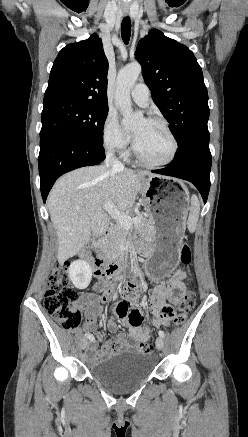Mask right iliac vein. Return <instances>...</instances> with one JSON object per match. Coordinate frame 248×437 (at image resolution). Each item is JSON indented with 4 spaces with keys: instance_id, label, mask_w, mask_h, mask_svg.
<instances>
[{
    "instance_id": "right-iliac-vein-1",
    "label": "right iliac vein",
    "mask_w": 248,
    "mask_h": 437,
    "mask_svg": "<svg viewBox=\"0 0 248 437\" xmlns=\"http://www.w3.org/2000/svg\"><path fill=\"white\" fill-rule=\"evenodd\" d=\"M89 342L86 338L81 339L80 341V348L85 349L88 346Z\"/></svg>"
}]
</instances>
